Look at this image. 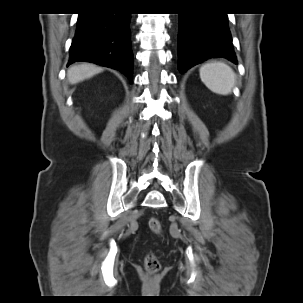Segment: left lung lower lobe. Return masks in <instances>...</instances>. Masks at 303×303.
<instances>
[{
	"instance_id": "obj_1",
	"label": "left lung lower lobe",
	"mask_w": 303,
	"mask_h": 303,
	"mask_svg": "<svg viewBox=\"0 0 303 303\" xmlns=\"http://www.w3.org/2000/svg\"><path fill=\"white\" fill-rule=\"evenodd\" d=\"M210 58L237 64L226 14H179L178 70L184 73Z\"/></svg>"
}]
</instances>
